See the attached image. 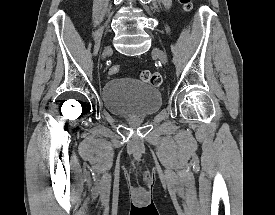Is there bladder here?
<instances>
[{"instance_id": "31cf9c89", "label": "bladder", "mask_w": 275, "mask_h": 215, "mask_svg": "<svg viewBox=\"0 0 275 215\" xmlns=\"http://www.w3.org/2000/svg\"><path fill=\"white\" fill-rule=\"evenodd\" d=\"M102 101L107 110L122 117H150L161 107L159 90L145 81L114 78L102 88Z\"/></svg>"}]
</instances>
